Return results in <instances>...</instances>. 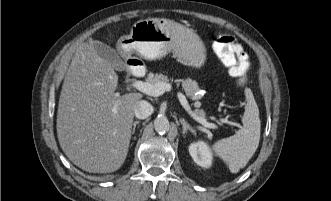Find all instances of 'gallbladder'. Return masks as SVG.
Returning <instances> with one entry per match:
<instances>
[{"mask_svg":"<svg viewBox=\"0 0 331 201\" xmlns=\"http://www.w3.org/2000/svg\"><path fill=\"white\" fill-rule=\"evenodd\" d=\"M92 45L95 48L97 55L110 63L114 69L124 70L126 68V64L119 57L118 53L110 46L99 41H92Z\"/></svg>","mask_w":331,"mask_h":201,"instance_id":"1","label":"gallbladder"}]
</instances>
